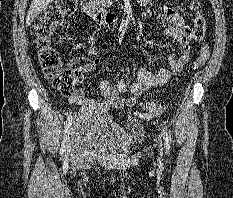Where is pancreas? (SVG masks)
I'll list each match as a JSON object with an SVG mask.
<instances>
[{"mask_svg":"<svg viewBox=\"0 0 233 198\" xmlns=\"http://www.w3.org/2000/svg\"><path fill=\"white\" fill-rule=\"evenodd\" d=\"M93 4L95 5H101L104 7H108L112 4L111 0H91Z\"/></svg>","mask_w":233,"mask_h":198,"instance_id":"cf45deb5","label":"pancreas"}]
</instances>
